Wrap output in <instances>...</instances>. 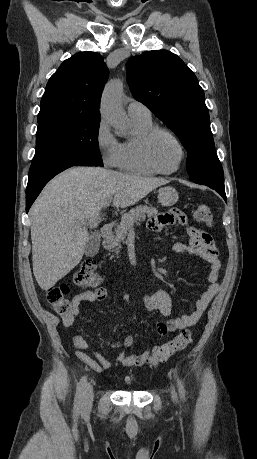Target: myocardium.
Wrapping results in <instances>:
<instances>
[{
    "instance_id": "myocardium-1",
    "label": "myocardium",
    "mask_w": 257,
    "mask_h": 459,
    "mask_svg": "<svg viewBox=\"0 0 257 459\" xmlns=\"http://www.w3.org/2000/svg\"><path fill=\"white\" fill-rule=\"evenodd\" d=\"M160 134H164V135H167L169 136L178 146L179 150H180V159H179V162L177 164V166L172 169V170H163L161 168H159L157 166V164L155 163L154 159H153V156H152V144H153V141L154 139L160 135ZM141 151H142V156L144 158V161L146 162V164L156 173H159V174H163V175H171V174H174L176 173L177 171H179V169L182 167L185 159H186V149L183 145V143L181 142V140L178 138V136H176L172 131L166 129V128H163V127H158V126H154L153 128H151L147 133H145V135L143 136L142 138V142H141Z\"/></svg>"
}]
</instances>
